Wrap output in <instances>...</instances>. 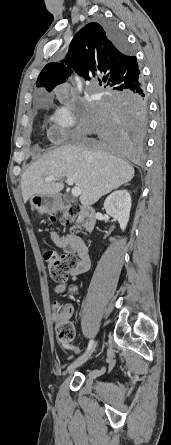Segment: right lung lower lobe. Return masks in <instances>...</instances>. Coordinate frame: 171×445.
Masks as SVG:
<instances>
[{"label": "right lung lower lobe", "mask_w": 171, "mask_h": 445, "mask_svg": "<svg viewBox=\"0 0 171 445\" xmlns=\"http://www.w3.org/2000/svg\"><path fill=\"white\" fill-rule=\"evenodd\" d=\"M112 43L129 49L117 26L102 23ZM147 123V99L143 81L129 90L113 91L88 106L83 114V132L94 146L119 158L139 163L143 156Z\"/></svg>", "instance_id": "right-lung-lower-lobe-1"}]
</instances>
